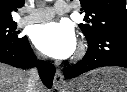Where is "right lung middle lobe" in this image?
<instances>
[{"mask_svg":"<svg viewBox=\"0 0 127 92\" xmlns=\"http://www.w3.org/2000/svg\"><path fill=\"white\" fill-rule=\"evenodd\" d=\"M16 23L0 24V42H10L14 44H21L27 39L26 36H18L19 32L16 30Z\"/></svg>","mask_w":127,"mask_h":92,"instance_id":"right-lung-middle-lobe-1","label":"right lung middle lobe"}]
</instances>
